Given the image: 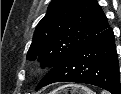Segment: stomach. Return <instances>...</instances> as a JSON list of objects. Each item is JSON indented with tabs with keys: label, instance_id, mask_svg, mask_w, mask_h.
<instances>
[{
	"label": "stomach",
	"instance_id": "stomach-1",
	"mask_svg": "<svg viewBox=\"0 0 121 94\" xmlns=\"http://www.w3.org/2000/svg\"><path fill=\"white\" fill-rule=\"evenodd\" d=\"M50 94H94V93L92 90L82 85L66 84L52 91Z\"/></svg>",
	"mask_w": 121,
	"mask_h": 94
}]
</instances>
